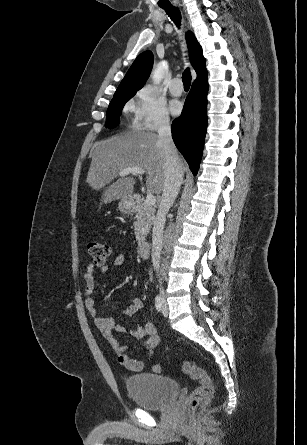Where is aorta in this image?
Returning a JSON list of instances; mask_svg holds the SVG:
<instances>
[{"label": "aorta", "instance_id": "762f6f07", "mask_svg": "<svg viewBox=\"0 0 307 445\" xmlns=\"http://www.w3.org/2000/svg\"><path fill=\"white\" fill-rule=\"evenodd\" d=\"M169 68V64L167 62V60H160V62H158L156 68H154L153 72H152V80H153V84H160L162 78H164V74L166 72V70H168Z\"/></svg>", "mask_w": 307, "mask_h": 445}]
</instances>
